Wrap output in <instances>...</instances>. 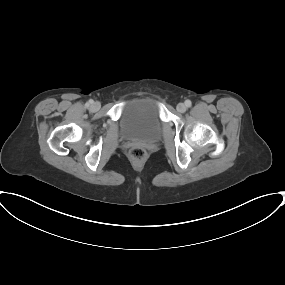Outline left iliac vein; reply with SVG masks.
Instances as JSON below:
<instances>
[{"mask_svg":"<svg viewBox=\"0 0 285 285\" xmlns=\"http://www.w3.org/2000/svg\"><path fill=\"white\" fill-rule=\"evenodd\" d=\"M176 108H177V111L180 113H184L187 109L184 103H179Z\"/></svg>","mask_w":285,"mask_h":285,"instance_id":"left-iliac-vein-1","label":"left iliac vein"}]
</instances>
